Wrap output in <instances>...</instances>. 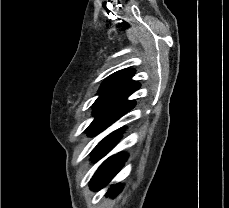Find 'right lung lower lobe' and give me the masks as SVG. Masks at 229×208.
Instances as JSON below:
<instances>
[{
  "instance_id": "right-lung-lower-lobe-1",
  "label": "right lung lower lobe",
  "mask_w": 229,
  "mask_h": 208,
  "mask_svg": "<svg viewBox=\"0 0 229 208\" xmlns=\"http://www.w3.org/2000/svg\"><path fill=\"white\" fill-rule=\"evenodd\" d=\"M121 134L122 132L111 139L109 142L105 143L98 150L93 152L92 160L97 161L105 156L117 144ZM127 157L128 155L126 153H119L109 157L106 161H104V163L98 168L92 177L90 181V188L94 191H97L105 187L123 167ZM121 189L122 186L116 184L109 189L108 193L116 195L121 191Z\"/></svg>"
}]
</instances>
